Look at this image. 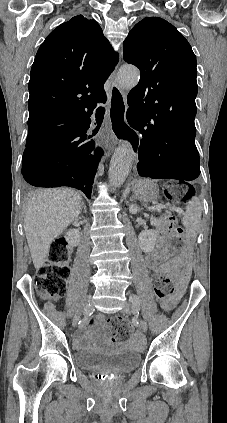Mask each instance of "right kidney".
Here are the masks:
<instances>
[{
  "instance_id": "1",
  "label": "right kidney",
  "mask_w": 227,
  "mask_h": 423,
  "mask_svg": "<svg viewBox=\"0 0 227 423\" xmlns=\"http://www.w3.org/2000/svg\"><path fill=\"white\" fill-rule=\"evenodd\" d=\"M64 237L68 245H73V247H75V245H78L80 241V231L79 229H68Z\"/></svg>"
}]
</instances>
